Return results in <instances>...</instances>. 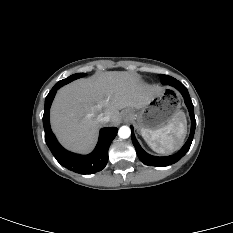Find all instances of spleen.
<instances>
[{
    "label": "spleen",
    "instance_id": "spleen-1",
    "mask_svg": "<svg viewBox=\"0 0 233 233\" xmlns=\"http://www.w3.org/2000/svg\"><path fill=\"white\" fill-rule=\"evenodd\" d=\"M186 118L183 112H177L172 121L163 128L154 131H141L142 137L157 153H171L181 144L186 134Z\"/></svg>",
    "mask_w": 233,
    "mask_h": 233
}]
</instances>
